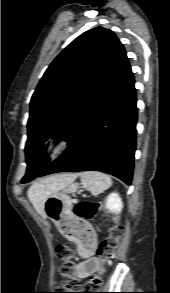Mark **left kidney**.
Returning a JSON list of instances; mask_svg holds the SVG:
<instances>
[{"mask_svg": "<svg viewBox=\"0 0 170 293\" xmlns=\"http://www.w3.org/2000/svg\"><path fill=\"white\" fill-rule=\"evenodd\" d=\"M105 208L109 210L110 213L119 214L123 208V202L119 197L118 193H111L106 199Z\"/></svg>", "mask_w": 170, "mask_h": 293, "instance_id": "5707ae66", "label": "left kidney"}]
</instances>
